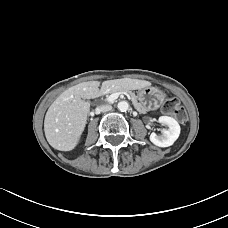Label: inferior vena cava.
Here are the masks:
<instances>
[{
  "mask_svg": "<svg viewBox=\"0 0 228 228\" xmlns=\"http://www.w3.org/2000/svg\"><path fill=\"white\" fill-rule=\"evenodd\" d=\"M97 109L100 112H108V111H110L112 109V106L106 104V105L99 106Z\"/></svg>",
  "mask_w": 228,
  "mask_h": 228,
  "instance_id": "inferior-vena-cava-1",
  "label": "inferior vena cava"
}]
</instances>
